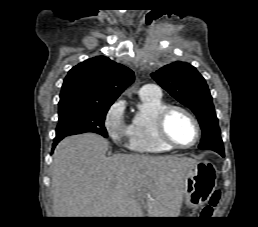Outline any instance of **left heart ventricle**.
<instances>
[{
    "mask_svg": "<svg viewBox=\"0 0 258 227\" xmlns=\"http://www.w3.org/2000/svg\"><path fill=\"white\" fill-rule=\"evenodd\" d=\"M167 131L178 144L189 145L195 139V128L191 120L181 112H173L167 120Z\"/></svg>",
    "mask_w": 258,
    "mask_h": 227,
    "instance_id": "1",
    "label": "left heart ventricle"
}]
</instances>
